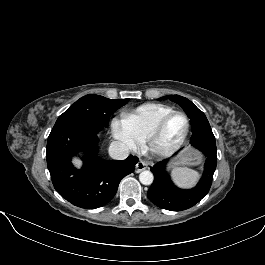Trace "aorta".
<instances>
[{
	"instance_id": "1",
	"label": "aorta",
	"mask_w": 265,
	"mask_h": 265,
	"mask_svg": "<svg viewBox=\"0 0 265 265\" xmlns=\"http://www.w3.org/2000/svg\"><path fill=\"white\" fill-rule=\"evenodd\" d=\"M139 180L143 185H150L154 180V176L151 171L145 170L139 174Z\"/></svg>"
}]
</instances>
